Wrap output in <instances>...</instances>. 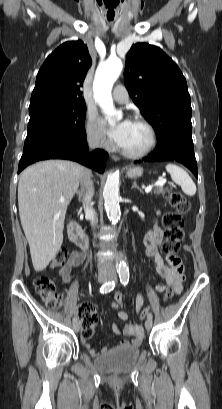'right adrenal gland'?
<instances>
[{
	"instance_id": "obj_1",
	"label": "right adrenal gland",
	"mask_w": 222,
	"mask_h": 409,
	"mask_svg": "<svg viewBox=\"0 0 222 409\" xmlns=\"http://www.w3.org/2000/svg\"><path fill=\"white\" fill-rule=\"evenodd\" d=\"M76 194H77V196H78V200L81 202L82 199H83V191H82V189H81V190H77V191H76Z\"/></svg>"
}]
</instances>
